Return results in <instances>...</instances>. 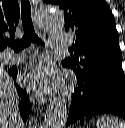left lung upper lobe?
<instances>
[{
  "label": "left lung upper lobe",
  "instance_id": "5c2ea615",
  "mask_svg": "<svg viewBox=\"0 0 125 128\" xmlns=\"http://www.w3.org/2000/svg\"><path fill=\"white\" fill-rule=\"evenodd\" d=\"M64 11L65 30L76 34L72 57L62 62L87 81L123 72L114 16L105 0H43Z\"/></svg>",
  "mask_w": 125,
  "mask_h": 128
}]
</instances>
